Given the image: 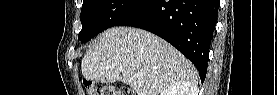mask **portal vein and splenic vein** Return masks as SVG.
Masks as SVG:
<instances>
[{
  "instance_id": "1",
  "label": "portal vein and splenic vein",
  "mask_w": 277,
  "mask_h": 95,
  "mask_svg": "<svg viewBox=\"0 0 277 95\" xmlns=\"http://www.w3.org/2000/svg\"><path fill=\"white\" fill-rule=\"evenodd\" d=\"M137 76L141 77V76H143V74L142 73H137Z\"/></svg>"
}]
</instances>
